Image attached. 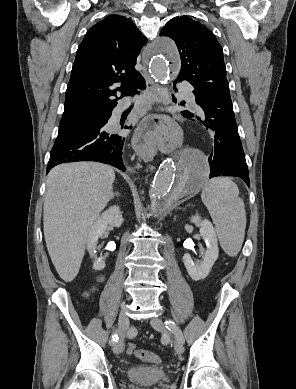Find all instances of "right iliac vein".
Returning <instances> with one entry per match:
<instances>
[{"label": "right iliac vein", "instance_id": "1", "mask_svg": "<svg viewBox=\"0 0 296 389\" xmlns=\"http://www.w3.org/2000/svg\"><path fill=\"white\" fill-rule=\"evenodd\" d=\"M129 326V319L124 311H121L118 319V333L119 339L116 341L113 351L115 354H119L123 348V337Z\"/></svg>", "mask_w": 296, "mask_h": 389}]
</instances>
